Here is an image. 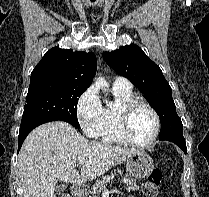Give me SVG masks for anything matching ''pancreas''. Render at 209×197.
<instances>
[{
	"instance_id": "pancreas-1",
	"label": "pancreas",
	"mask_w": 209,
	"mask_h": 197,
	"mask_svg": "<svg viewBox=\"0 0 209 197\" xmlns=\"http://www.w3.org/2000/svg\"><path fill=\"white\" fill-rule=\"evenodd\" d=\"M113 178H114V173H110L109 175L103 176L101 180H97L90 191L93 197H99V194L105 188V185L109 183ZM125 180H126L125 189L128 192L138 190V185L136 184L135 179L131 178L129 175H126Z\"/></svg>"
}]
</instances>
